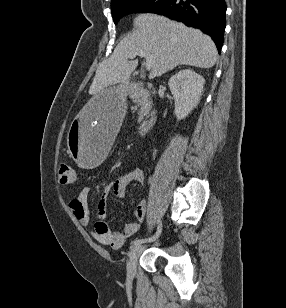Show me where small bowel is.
Returning a JSON list of instances; mask_svg holds the SVG:
<instances>
[{
	"label": "small bowel",
	"mask_w": 286,
	"mask_h": 308,
	"mask_svg": "<svg viewBox=\"0 0 286 308\" xmlns=\"http://www.w3.org/2000/svg\"><path fill=\"white\" fill-rule=\"evenodd\" d=\"M145 180L144 173L141 168L133 167L117 177L109 183L103 190L102 197L98 204V210L101 220L95 224L93 237L103 245L112 248H121L126 239L136 234L140 229V224L137 222L126 223L123 230L120 232L112 231L103 221L106 215V197L111 193L115 198L121 199L125 195L126 187L131 182L143 184ZM89 188L83 187L78 195L69 203V208L76 219L84 226L90 224V214L88 210ZM146 215V205L142 201L134 209L133 216L139 222H142Z\"/></svg>",
	"instance_id": "small-bowel-1"
}]
</instances>
